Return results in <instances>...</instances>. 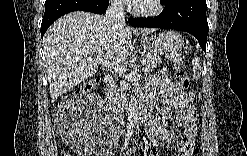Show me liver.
I'll return each instance as SVG.
<instances>
[{
    "label": "liver",
    "mask_w": 247,
    "mask_h": 156,
    "mask_svg": "<svg viewBox=\"0 0 247 156\" xmlns=\"http://www.w3.org/2000/svg\"><path fill=\"white\" fill-rule=\"evenodd\" d=\"M155 29L145 28L147 35ZM132 29L110 26L102 15L74 11L54 22L43 38L50 96L55 101L96 74L98 65L119 66L130 54ZM92 57L95 60L89 61Z\"/></svg>",
    "instance_id": "obj_1"
}]
</instances>
